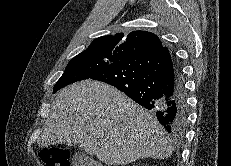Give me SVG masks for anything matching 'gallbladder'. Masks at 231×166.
I'll use <instances>...</instances> for the list:
<instances>
[{"mask_svg": "<svg viewBox=\"0 0 231 166\" xmlns=\"http://www.w3.org/2000/svg\"><path fill=\"white\" fill-rule=\"evenodd\" d=\"M90 163L92 160L81 154H76L73 158V166H90Z\"/></svg>", "mask_w": 231, "mask_h": 166, "instance_id": "bac80fb5", "label": "gallbladder"}]
</instances>
